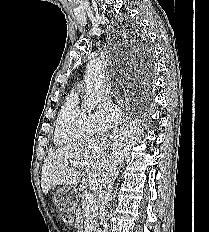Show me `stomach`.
Returning a JSON list of instances; mask_svg holds the SVG:
<instances>
[{"mask_svg":"<svg viewBox=\"0 0 209 232\" xmlns=\"http://www.w3.org/2000/svg\"><path fill=\"white\" fill-rule=\"evenodd\" d=\"M81 196V186H62L56 191L53 203H57L56 211L62 214H72L73 207L79 206Z\"/></svg>","mask_w":209,"mask_h":232,"instance_id":"0dacf381","label":"stomach"}]
</instances>
